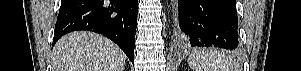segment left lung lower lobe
<instances>
[{"mask_svg":"<svg viewBox=\"0 0 301 71\" xmlns=\"http://www.w3.org/2000/svg\"><path fill=\"white\" fill-rule=\"evenodd\" d=\"M177 42L192 47L235 50L239 45L235 0H177Z\"/></svg>","mask_w":301,"mask_h":71,"instance_id":"0a47b994","label":"left lung lower lobe"}]
</instances>
